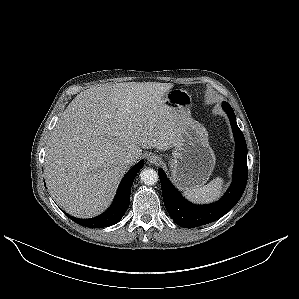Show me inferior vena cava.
<instances>
[{"label":"inferior vena cava","instance_id":"obj_1","mask_svg":"<svg viewBox=\"0 0 299 299\" xmlns=\"http://www.w3.org/2000/svg\"><path fill=\"white\" fill-rule=\"evenodd\" d=\"M123 162L126 165H131L135 162V154L134 153H127L124 158H123Z\"/></svg>","mask_w":299,"mask_h":299}]
</instances>
